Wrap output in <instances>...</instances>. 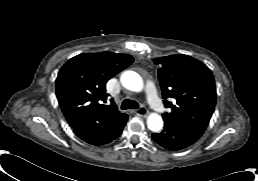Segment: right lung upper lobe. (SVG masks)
I'll return each instance as SVG.
<instances>
[{"instance_id": "cb5924a9", "label": "right lung upper lobe", "mask_w": 258, "mask_h": 181, "mask_svg": "<svg viewBox=\"0 0 258 181\" xmlns=\"http://www.w3.org/2000/svg\"><path fill=\"white\" fill-rule=\"evenodd\" d=\"M132 62L130 55L101 52L80 54L64 64L56 79V95L72 128H85L124 115L112 100L110 105H104L109 96L105 86Z\"/></svg>"}]
</instances>
